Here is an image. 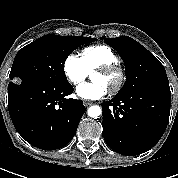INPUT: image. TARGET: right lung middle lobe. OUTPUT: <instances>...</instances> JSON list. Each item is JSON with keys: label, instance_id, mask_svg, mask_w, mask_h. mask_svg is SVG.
<instances>
[{"label": "right lung middle lobe", "instance_id": "right-lung-middle-lobe-1", "mask_svg": "<svg viewBox=\"0 0 178 178\" xmlns=\"http://www.w3.org/2000/svg\"><path fill=\"white\" fill-rule=\"evenodd\" d=\"M95 38L44 35L23 47L16 54L9 78L10 83L66 82L64 63L68 55Z\"/></svg>", "mask_w": 178, "mask_h": 178}]
</instances>
